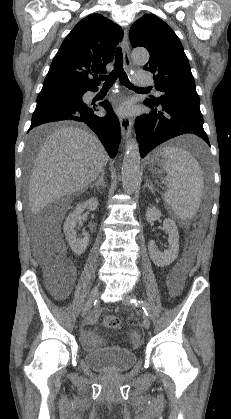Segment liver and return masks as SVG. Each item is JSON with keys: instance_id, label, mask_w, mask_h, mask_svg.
<instances>
[{"instance_id": "1", "label": "liver", "mask_w": 231, "mask_h": 419, "mask_svg": "<svg viewBox=\"0 0 231 419\" xmlns=\"http://www.w3.org/2000/svg\"><path fill=\"white\" fill-rule=\"evenodd\" d=\"M52 126L45 125L30 133L38 139ZM109 156L92 133L73 126L55 129L43 142L36 156L29 183V204L33 214L52 201L90 186L104 171Z\"/></svg>"}]
</instances>
